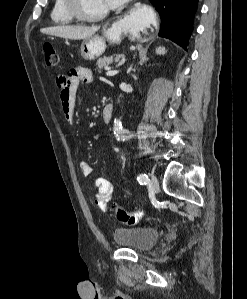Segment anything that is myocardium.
<instances>
[{
	"mask_svg": "<svg viewBox=\"0 0 247 299\" xmlns=\"http://www.w3.org/2000/svg\"><path fill=\"white\" fill-rule=\"evenodd\" d=\"M68 12L77 20L84 22H95L104 19L109 14V9H106L98 14H87L81 0H65Z\"/></svg>",
	"mask_w": 247,
	"mask_h": 299,
	"instance_id": "obj_1",
	"label": "myocardium"
}]
</instances>
